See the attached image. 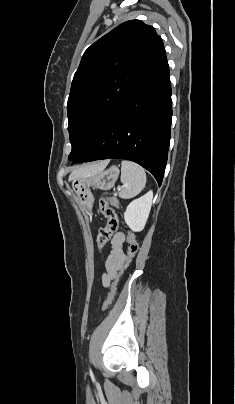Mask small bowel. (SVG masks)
I'll return each instance as SVG.
<instances>
[{
	"instance_id": "obj_1",
	"label": "small bowel",
	"mask_w": 235,
	"mask_h": 404,
	"mask_svg": "<svg viewBox=\"0 0 235 404\" xmlns=\"http://www.w3.org/2000/svg\"><path fill=\"white\" fill-rule=\"evenodd\" d=\"M125 234L117 232L111 240V251L105 261V272L102 276V283L105 287L116 277L118 270L125 262Z\"/></svg>"
}]
</instances>
